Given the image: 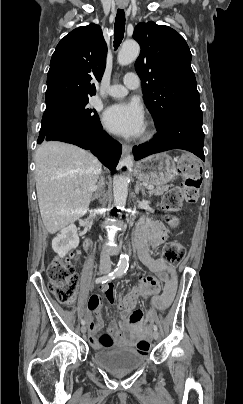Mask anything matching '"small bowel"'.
Here are the masks:
<instances>
[{
    "instance_id": "1",
    "label": "small bowel",
    "mask_w": 243,
    "mask_h": 404,
    "mask_svg": "<svg viewBox=\"0 0 243 404\" xmlns=\"http://www.w3.org/2000/svg\"><path fill=\"white\" fill-rule=\"evenodd\" d=\"M167 234L160 222L142 220L136 229V245L141 262L152 272L156 273L163 283L162 292L152 295L153 308L148 312L135 310L129 317L120 323H111L110 332L119 345H130L137 338L150 330L151 324L156 319L157 312L165 311L171 304L177 287V274L174 267L168 265L160 258H154L153 252L166 240ZM104 296L109 303H113L115 293L111 284L103 288ZM90 311L99 315L101 310V296L93 294L88 301ZM102 325L101 319L96 322L89 320L90 340L97 345L96 332Z\"/></svg>"
}]
</instances>
